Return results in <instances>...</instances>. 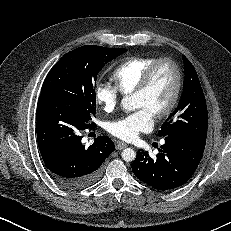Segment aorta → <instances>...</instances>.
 <instances>
[{
    "label": "aorta",
    "instance_id": "762f6f07",
    "mask_svg": "<svg viewBox=\"0 0 231 231\" xmlns=\"http://www.w3.org/2000/svg\"><path fill=\"white\" fill-rule=\"evenodd\" d=\"M122 107L126 111H132L136 109V105L133 102V98L130 95L125 96L121 101ZM122 158L126 162H131L136 158V153L131 148H126L122 151Z\"/></svg>",
    "mask_w": 231,
    "mask_h": 231
}]
</instances>
